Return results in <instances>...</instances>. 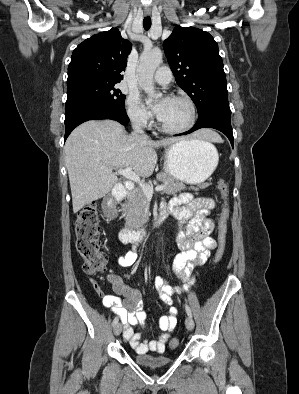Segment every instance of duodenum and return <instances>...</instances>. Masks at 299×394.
I'll list each match as a JSON object with an SVG mask.
<instances>
[{
    "label": "duodenum",
    "instance_id": "410a0bca",
    "mask_svg": "<svg viewBox=\"0 0 299 394\" xmlns=\"http://www.w3.org/2000/svg\"><path fill=\"white\" fill-rule=\"evenodd\" d=\"M133 189H134V185L129 182L126 185V190L130 192ZM123 198L124 195H119V194L110 195L106 197L103 205L106 216L111 217L114 214L115 203L117 201H121ZM166 217H167V211L165 209H162L158 217L151 221L148 228L143 227L139 229H133L126 226L122 227L119 232L121 241L125 243H130L144 239L147 233L149 232V230H151L152 228L163 222L166 219Z\"/></svg>",
    "mask_w": 299,
    "mask_h": 394
}]
</instances>
